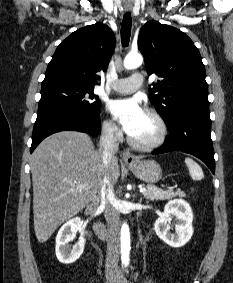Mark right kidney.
<instances>
[{
	"mask_svg": "<svg viewBox=\"0 0 233 283\" xmlns=\"http://www.w3.org/2000/svg\"><path fill=\"white\" fill-rule=\"evenodd\" d=\"M79 232V241L71 248L68 243L72 240L71 234ZM85 226L79 217L67 221L58 231L56 236V256L63 264L74 263L83 253Z\"/></svg>",
	"mask_w": 233,
	"mask_h": 283,
	"instance_id": "obj_1",
	"label": "right kidney"
}]
</instances>
